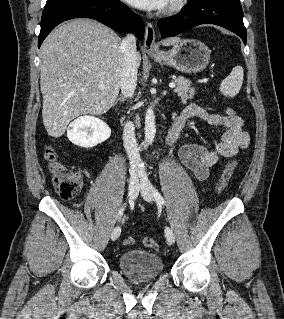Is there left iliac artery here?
Returning a JSON list of instances; mask_svg holds the SVG:
<instances>
[{"label": "left iliac artery", "instance_id": "44dca946", "mask_svg": "<svg viewBox=\"0 0 284 319\" xmlns=\"http://www.w3.org/2000/svg\"><path fill=\"white\" fill-rule=\"evenodd\" d=\"M154 198H155L156 202L159 205H164L165 204V201H164L163 197L161 196V194L156 189L154 190Z\"/></svg>", "mask_w": 284, "mask_h": 319}]
</instances>
